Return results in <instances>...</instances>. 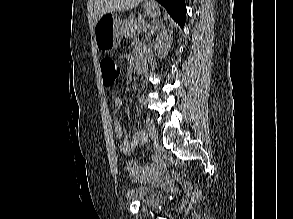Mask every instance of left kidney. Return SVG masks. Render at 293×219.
Wrapping results in <instances>:
<instances>
[{
  "instance_id": "obj_1",
  "label": "left kidney",
  "mask_w": 293,
  "mask_h": 219,
  "mask_svg": "<svg viewBox=\"0 0 293 219\" xmlns=\"http://www.w3.org/2000/svg\"><path fill=\"white\" fill-rule=\"evenodd\" d=\"M169 33V35H168ZM172 31L169 30H163L157 35L156 41H155V51L157 52V55L160 58L165 57L167 54L168 49L171 46V37Z\"/></svg>"
}]
</instances>
